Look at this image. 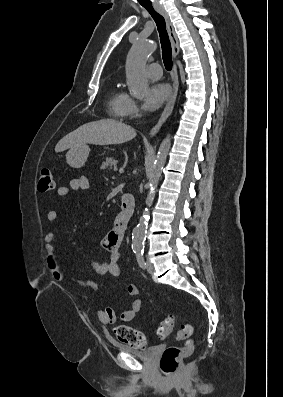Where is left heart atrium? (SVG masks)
I'll list each match as a JSON object with an SVG mask.
<instances>
[{
    "label": "left heart atrium",
    "instance_id": "left-heart-atrium-1",
    "mask_svg": "<svg viewBox=\"0 0 283 397\" xmlns=\"http://www.w3.org/2000/svg\"><path fill=\"white\" fill-rule=\"evenodd\" d=\"M170 95V89L166 84L152 85L144 100V109L154 111L160 108Z\"/></svg>",
    "mask_w": 283,
    "mask_h": 397
}]
</instances>
